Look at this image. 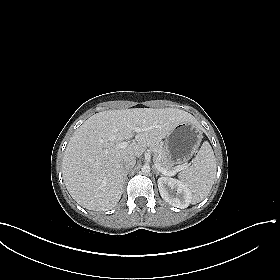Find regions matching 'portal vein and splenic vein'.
Instances as JSON below:
<instances>
[{
	"label": "portal vein and splenic vein",
	"mask_w": 280,
	"mask_h": 280,
	"mask_svg": "<svg viewBox=\"0 0 280 280\" xmlns=\"http://www.w3.org/2000/svg\"><path fill=\"white\" fill-rule=\"evenodd\" d=\"M144 130H145V129L140 128V127H135V128H134V131H135L136 133H140V132H142V131H144ZM128 145H129V142H128V141H123V142H121V143L118 144V147H119V148H126ZM155 166H156V168H157L160 172H162L164 175H167V176H173V175L176 174V172H178V171H180V170H182V169H184V168L186 167V166H179V167H177L176 170L167 171V170L163 169L162 167H160V165H159L158 163H156V162H155Z\"/></svg>",
	"instance_id": "portal-vein-and-splenic-vein-1"
}]
</instances>
